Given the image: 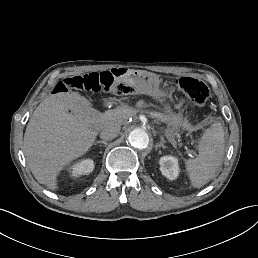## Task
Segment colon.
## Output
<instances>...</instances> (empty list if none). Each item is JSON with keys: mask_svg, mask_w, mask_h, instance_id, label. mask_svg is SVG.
I'll return each instance as SVG.
<instances>
[{"mask_svg": "<svg viewBox=\"0 0 258 258\" xmlns=\"http://www.w3.org/2000/svg\"><path fill=\"white\" fill-rule=\"evenodd\" d=\"M179 89L186 93L192 102L201 105L209 97V89L202 81L192 77H180L176 80ZM70 89L91 92H106L116 95H131L139 92L137 85L132 82H117L112 80L107 71L93 72L84 75L67 77L58 82L54 92L66 93ZM219 122L217 117L208 116L204 119L205 124Z\"/></svg>", "mask_w": 258, "mask_h": 258, "instance_id": "5ec220e1", "label": "colon"}]
</instances>
